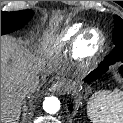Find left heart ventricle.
Listing matches in <instances>:
<instances>
[{"mask_svg":"<svg viewBox=\"0 0 123 123\" xmlns=\"http://www.w3.org/2000/svg\"><path fill=\"white\" fill-rule=\"evenodd\" d=\"M96 40V35L92 34L91 36H89L88 41L83 43L82 46H86L87 48H93L96 43Z\"/></svg>","mask_w":123,"mask_h":123,"instance_id":"b2bd125f","label":"left heart ventricle"}]
</instances>
